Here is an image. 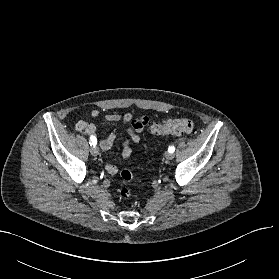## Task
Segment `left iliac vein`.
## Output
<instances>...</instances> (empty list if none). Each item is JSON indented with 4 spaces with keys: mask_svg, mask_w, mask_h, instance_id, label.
Instances as JSON below:
<instances>
[{
    "mask_svg": "<svg viewBox=\"0 0 279 279\" xmlns=\"http://www.w3.org/2000/svg\"><path fill=\"white\" fill-rule=\"evenodd\" d=\"M165 158L168 159V160H172L174 158V154L173 153H170V152H167L165 154Z\"/></svg>",
    "mask_w": 279,
    "mask_h": 279,
    "instance_id": "4c4485c4",
    "label": "left iliac vein"
}]
</instances>
